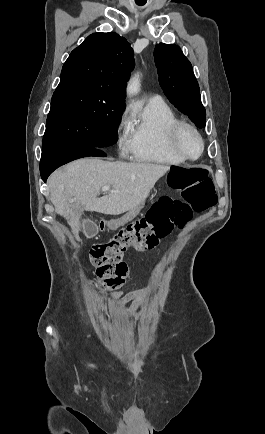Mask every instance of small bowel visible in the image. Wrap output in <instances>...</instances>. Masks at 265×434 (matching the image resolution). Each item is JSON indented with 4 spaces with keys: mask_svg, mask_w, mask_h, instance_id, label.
<instances>
[{
    "mask_svg": "<svg viewBox=\"0 0 265 434\" xmlns=\"http://www.w3.org/2000/svg\"><path fill=\"white\" fill-rule=\"evenodd\" d=\"M151 294L152 291L148 288L138 289L128 293L120 290L111 293L109 300L115 304V310L119 313L131 303L139 306L142 302L149 299Z\"/></svg>",
    "mask_w": 265,
    "mask_h": 434,
    "instance_id": "obj_1",
    "label": "small bowel"
}]
</instances>
